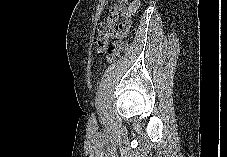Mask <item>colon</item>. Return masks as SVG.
<instances>
[{
	"instance_id": "colon-1",
	"label": "colon",
	"mask_w": 227,
	"mask_h": 157,
	"mask_svg": "<svg viewBox=\"0 0 227 157\" xmlns=\"http://www.w3.org/2000/svg\"><path fill=\"white\" fill-rule=\"evenodd\" d=\"M126 2L127 0H118L117 4L111 9L107 20L98 26V34L95 38L96 50L99 54L108 52L110 61L116 59L127 47L124 41H118L114 47L109 46V41L117 38L122 31V25L118 23V19L123 12Z\"/></svg>"
}]
</instances>
